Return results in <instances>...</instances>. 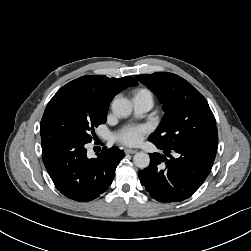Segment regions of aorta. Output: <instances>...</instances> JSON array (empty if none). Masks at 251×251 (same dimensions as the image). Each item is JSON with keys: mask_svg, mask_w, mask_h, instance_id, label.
Masks as SVG:
<instances>
[{"mask_svg": "<svg viewBox=\"0 0 251 251\" xmlns=\"http://www.w3.org/2000/svg\"><path fill=\"white\" fill-rule=\"evenodd\" d=\"M113 113L120 118L128 117L132 112L131 102L126 98H117L112 102ZM134 164L140 168L144 169L149 166L150 157L145 152H138L133 157Z\"/></svg>", "mask_w": 251, "mask_h": 251, "instance_id": "obj_1", "label": "aorta"}]
</instances>
